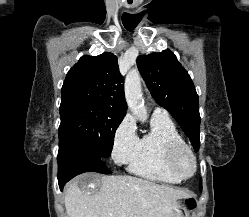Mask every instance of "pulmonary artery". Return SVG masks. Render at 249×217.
Here are the masks:
<instances>
[{
  "mask_svg": "<svg viewBox=\"0 0 249 217\" xmlns=\"http://www.w3.org/2000/svg\"><path fill=\"white\" fill-rule=\"evenodd\" d=\"M153 116L168 117V112L160 107H157L153 111Z\"/></svg>",
  "mask_w": 249,
  "mask_h": 217,
  "instance_id": "obj_1",
  "label": "pulmonary artery"
}]
</instances>
